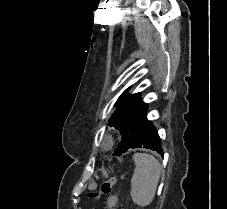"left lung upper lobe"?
<instances>
[{
  "label": "left lung upper lobe",
  "mask_w": 227,
  "mask_h": 209,
  "mask_svg": "<svg viewBox=\"0 0 227 209\" xmlns=\"http://www.w3.org/2000/svg\"><path fill=\"white\" fill-rule=\"evenodd\" d=\"M119 97L116 104H118L127 94L128 90ZM147 112V104L140 100V94L136 93L126 96L124 101L118 106L116 111L109 119V126L115 127L122 134L121 142L114 156H120L125 153L132 144L137 129Z\"/></svg>",
  "instance_id": "1"
}]
</instances>
